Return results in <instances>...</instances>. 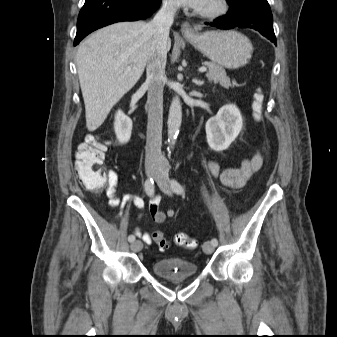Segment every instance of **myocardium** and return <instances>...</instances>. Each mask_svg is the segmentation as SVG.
I'll use <instances>...</instances> for the list:
<instances>
[{
    "instance_id": "f54148a6",
    "label": "myocardium",
    "mask_w": 337,
    "mask_h": 337,
    "mask_svg": "<svg viewBox=\"0 0 337 337\" xmlns=\"http://www.w3.org/2000/svg\"><path fill=\"white\" fill-rule=\"evenodd\" d=\"M230 5L228 0H212V4L207 9H202L198 13L201 17L208 19H218L226 15Z\"/></svg>"
}]
</instances>
